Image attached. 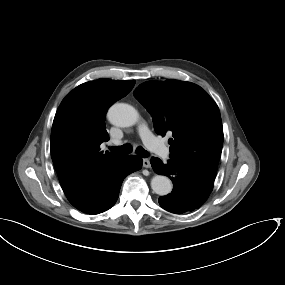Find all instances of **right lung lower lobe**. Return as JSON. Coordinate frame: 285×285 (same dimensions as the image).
I'll return each instance as SVG.
<instances>
[{"label":"right lung lower lobe","mask_w":285,"mask_h":285,"mask_svg":"<svg viewBox=\"0 0 285 285\" xmlns=\"http://www.w3.org/2000/svg\"><path fill=\"white\" fill-rule=\"evenodd\" d=\"M138 156H127L123 162L108 170L96 183L72 205L79 211L95 215L107 211L117 201L124 178L142 168Z\"/></svg>","instance_id":"right-lung-lower-lobe-1"}]
</instances>
